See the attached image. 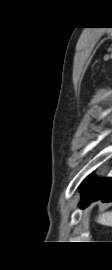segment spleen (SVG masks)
Instances as JSON below:
<instances>
[{"mask_svg": "<svg viewBox=\"0 0 112 270\" xmlns=\"http://www.w3.org/2000/svg\"><path fill=\"white\" fill-rule=\"evenodd\" d=\"M98 223L112 227V212H106L99 216Z\"/></svg>", "mask_w": 112, "mask_h": 270, "instance_id": "1", "label": "spleen"}]
</instances>
